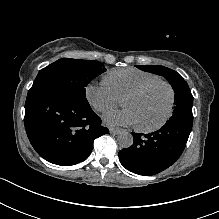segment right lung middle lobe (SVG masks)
<instances>
[{
	"label": "right lung middle lobe",
	"mask_w": 219,
	"mask_h": 219,
	"mask_svg": "<svg viewBox=\"0 0 219 219\" xmlns=\"http://www.w3.org/2000/svg\"><path fill=\"white\" fill-rule=\"evenodd\" d=\"M106 71L97 61L63 58L39 71L31 90L51 88L69 93L83 103H88L85 87Z\"/></svg>",
	"instance_id": "1"
}]
</instances>
